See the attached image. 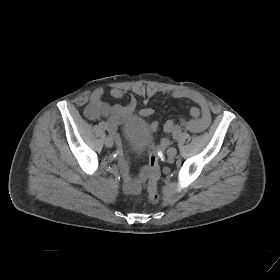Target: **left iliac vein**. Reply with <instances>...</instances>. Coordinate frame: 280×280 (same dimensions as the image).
Returning a JSON list of instances; mask_svg holds the SVG:
<instances>
[{
  "mask_svg": "<svg viewBox=\"0 0 280 280\" xmlns=\"http://www.w3.org/2000/svg\"><path fill=\"white\" fill-rule=\"evenodd\" d=\"M176 154H177V150H176V148H174V147H170V148L167 150V155H168L169 158L175 157Z\"/></svg>",
  "mask_w": 280,
  "mask_h": 280,
  "instance_id": "left-iliac-vein-1",
  "label": "left iliac vein"
}]
</instances>
